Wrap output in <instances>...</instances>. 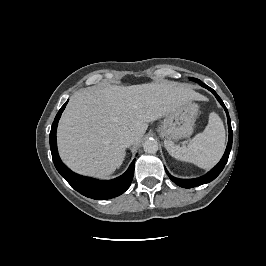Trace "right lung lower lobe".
Here are the masks:
<instances>
[{
  "label": "right lung lower lobe",
  "instance_id": "obj_1",
  "mask_svg": "<svg viewBox=\"0 0 266 266\" xmlns=\"http://www.w3.org/2000/svg\"><path fill=\"white\" fill-rule=\"evenodd\" d=\"M67 102L60 108L59 112L57 113L49 135L52 159L57 171L76 191L86 197L96 200H105L121 195L129 188L132 182L135 160L132 161L128 170L123 175L112 180H97L90 177L78 175L72 172L62 163L57 150L56 130L58 120L60 119Z\"/></svg>",
  "mask_w": 266,
  "mask_h": 266
}]
</instances>
